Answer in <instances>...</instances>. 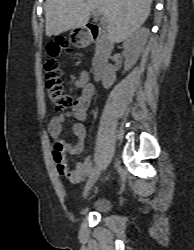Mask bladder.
Instances as JSON below:
<instances>
[{"label": "bladder", "instance_id": "31cf9c89", "mask_svg": "<svg viewBox=\"0 0 194 250\" xmlns=\"http://www.w3.org/2000/svg\"><path fill=\"white\" fill-rule=\"evenodd\" d=\"M92 208L96 212L105 213L110 209V201L105 197L97 198L93 202Z\"/></svg>", "mask_w": 194, "mask_h": 250}]
</instances>
